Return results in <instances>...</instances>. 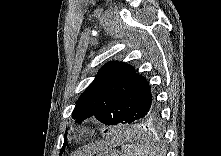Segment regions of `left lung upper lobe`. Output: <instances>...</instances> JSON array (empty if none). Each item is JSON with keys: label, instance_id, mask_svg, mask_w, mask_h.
Returning <instances> with one entry per match:
<instances>
[{"label": "left lung upper lobe", "instance_id": "left-lung-upper-lobe-1", "mask_svg": "<svg viewBox=\"0 0 221 156\" xmlns=\"http://www.w3.org/2000/svg\"><path fill=\"white\" fill-rule=\"evenodd\" d=\"M157 107L146 78L131 65L113 61L100 69L82 93L72 118L77 123L94 116L108 126L130 124Z\"/></svg>", "mask_w": 221, "mask_h": 156}]
</instances>
